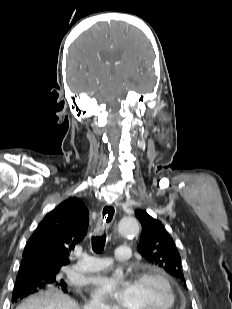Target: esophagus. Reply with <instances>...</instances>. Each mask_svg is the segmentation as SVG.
Returning a JSON list of instances; mask_svg holds the SVG:
<instances>
[{"label":"esophagus","instance_id":"esophagus-1","mask_svg":"<svg viewBox=\"0 0 232 309\" xmlns=\"http://www.w3.org/2000/svg\"><path fill=\"white\" fill-rule=\"evenodd\" d=\"M116 215V207L113 204H106L101 210L99 222L96 226L97 232H102L112 225Z\"/></svg>","mask_w":232,"mask_h":309}]
</instances>
